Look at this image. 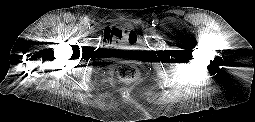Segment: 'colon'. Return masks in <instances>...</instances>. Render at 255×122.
I'll use <instances>...</instances> for the list:
<instances>
[{
    "mask_svg": "<svg viewBox=\"0 0 255 122\" xmlns=\"http://www.w3.org/2000/svg\"><path fill=\"white\" fill-rule=\"evenodd\" d=\"M107 34L117 38L118 40L120 39V37H122L124 35L123 32H121L120 30L115 29V28L108 29ZM117 72H118V76L120 77V79L126 83H134V82L138 81L140 78V73H139L138 69L136 68L135 65H133L131 63H122L118 67Z\"/></svg>",
    "mask_w": 255,
    "mask_h": 122,
    "instance_id": "1",
    "label": "colon"
}]
</instances>
